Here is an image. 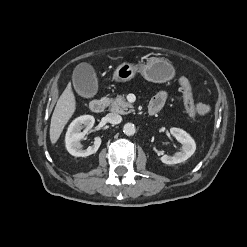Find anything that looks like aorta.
Returning <instances> with one entry per match:
<instances>
[{
    "mask_svg": "<svg viewBox=\"0 0 247 247\" xmlns=\"http://www.w3.org/2000/svg\"><path fill=\"white\" fill-rule=\"evenodd\" d=\"M123 132L127 136H132V135L135 134L136 128H135L134 124H132V123H126L124 125V127H123Z\"/></svg>",
    "mask_w": 247,
    "mask_h": 247,
    "instance_id": "762f6f07",
    "label": "aorta"
}]
</instances>
